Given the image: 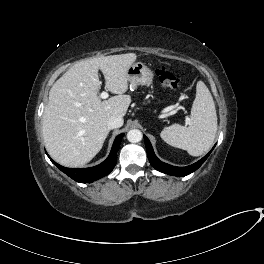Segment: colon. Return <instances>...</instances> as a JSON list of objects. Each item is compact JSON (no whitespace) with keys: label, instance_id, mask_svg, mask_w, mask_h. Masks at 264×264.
<instances>
[{"label":"colon","instance_id":"colon-1","mask_svg":"<svg viewBox=\"0 0 264 264\" xmlns=\"http://www.w3.org/2000/svg\"><path fill=\"white\" fill-rule=\"evenodd\" d=\"M156 74L162 85L171 89H177L179 87V79L165 67H161L160 69H158Z\"/></svg>","mask_w":264,"mask_h":264}]
</instances>
